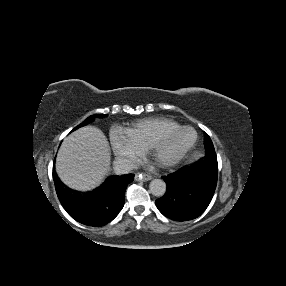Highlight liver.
I'll list each match as a JSON object with an SVG mask.
<instances>
[{
	"instance_id": "1",
	"label": "liver",
	"mask_w": 286,
	"mask_h": 286,
	"mask_svg": "<svg viewBox=\"0 0 286 286\" xmlns=\"http://www.w3.org/2000/svg\"><path fill=\"white\" fill-rule=\"evenodd\" d=\"M111 154L103 132L82 127L62 142L56 158V171L71 188L87 190L96 186L110 171Z\"/></svg>"
}]
</instances>
